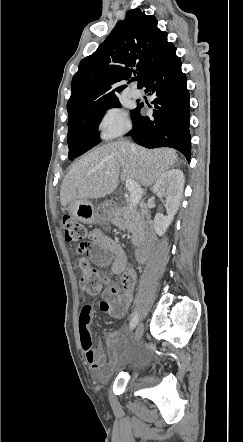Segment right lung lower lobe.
Listing matches in <instances>:
<instances>
[{
  "mask_svg": "<svg viewBox=\"0 0 243 442\" xmlns=\"http://www.w3.org/2000/svg\"><path fill=\"white\" fill-rule=\"evenodd\" d=\"M181 59L176 49L147 77L142 87L155 96L152 118L142 117L139 103L132 115L134 141L147 148L172 147L190 161V106L186 75L181 71Z\"/></svg>",
  "mask_w": 243,
  "mask_h": 442,
  "instance_id": "right-lung-lower-lobe-1",
  "label": "right lung lower lobe"
}]
</instances>
